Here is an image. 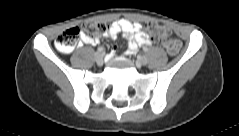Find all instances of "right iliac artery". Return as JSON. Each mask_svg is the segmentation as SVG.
<instances>
[{
  "instance_id": "obj_1",
  "label": "right iliac artery",
  "mask_w": 239,
  "mask_h": 136,
  "mask_svg": "<svg viewBox=\"0 0 239 136\" xmlns=\"http://www.w3.org/2000/svg\"><path fill=\"white\" fill-rule=\"evenodd\" d=\"M98 51H99V52H103V51H104V48L99 47V48H98Z\"/></svg>"
}]
</instances>
